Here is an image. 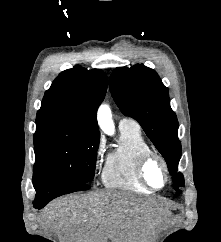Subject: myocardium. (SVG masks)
Instances as JSON below:
<instances>
[{"instance_id":"1","label":"myocardium","mask_w":221,"mask_h":242,"mask_svg":"<svg viewBox=\"0 0 221 242\" xmlns=\"http://www.w3.org/2000/svg\"><path fill=\"white\" fill-rule=\"evenodd\" d=\"M152 160H157L158 162H160V164L162 165L163 170H164L165 182H164L163 186L159 187V188L153 187L150 184V182L148 181L147 176H146V168ZM137 174H138V177L141 180V182L147 188H149L150 190H153V191H159V190L164 189L170 180V168H169L168 162L160 153L153 151V150H149L140 156L138 163H137Z\"/></svg>"}]
</instances>
